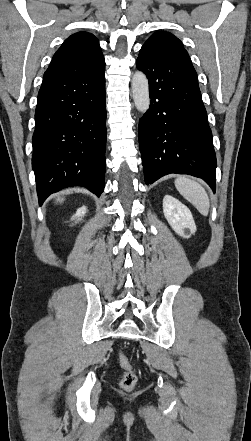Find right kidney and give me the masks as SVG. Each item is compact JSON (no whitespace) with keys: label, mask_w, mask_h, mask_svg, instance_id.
Instances as JSON below:
<instances>
[{"label":"right kidney","mask_w":251,"mask_h":441,"mask_svg":"<svg viewBox=\"0 0 251 441\" xmlns=\"http://www.w3.org/2000/svg\"><path fill=\"white\" fill-rule=\"evenodd\" d=\"M86 212L87 208L85 206H82L76 211L75 215L72 216L71 220H77V222L82 220V217L86 214Z\"/></svg>","instance_id":"ca27d5eb"}]
</instances>
